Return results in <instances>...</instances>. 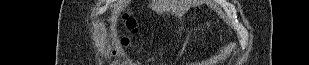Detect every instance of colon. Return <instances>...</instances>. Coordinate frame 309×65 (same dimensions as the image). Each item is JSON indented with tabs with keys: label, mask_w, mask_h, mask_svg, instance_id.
I'll use <instances>...</instances> for the list:
<instances>
[{
	"label": "colon",
	"mask_w": 309,
	"mask_h": 65,
	"mask_svg": "<svg viewBox=\"0 0 309 65\" xmlns=\"http://www.w3.org/2000/svg\"><path fill=\"white\" fill-rule=\"evenodd\" d=\"M123 23L125 24V26H126V28L128 30H131V31H135L136 30L135 29L136 22H135V20L132 17L124 15L123 16ZM123 42L126 43L127 39H123Z\"/></svg>",
	"instance_id": "obj_1"
}]
</instances>
